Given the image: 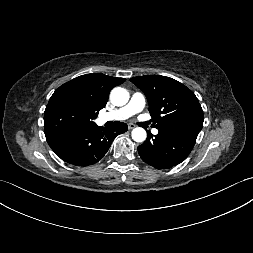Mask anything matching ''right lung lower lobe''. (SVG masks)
<instances>
[{
    "label": "right lung lower lobe",
    "instance_id": "right-lung-lower-lobe-1",
    "mask_svg": "<svg viewBox=\"0 0 253 253\" xmlns=\"http://www.w3.org/2000/svg\"><path fill=\"white\" fill-rule=\"evenodd\" d=\"M127 129V124L122 122H115L113 127L105 129L94 124L49 136L46 140L56 155L65 162L76 166H89L101 160L114 138Z\"/></svg>",
    "mask_w": 253,
    "mask_h": 253
}]
</instances>
